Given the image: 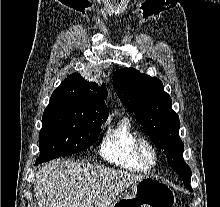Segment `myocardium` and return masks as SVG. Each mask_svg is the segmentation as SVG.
I'll return each mask as SVG.
<instances>
[{"label":"myocardium","mask_w":220,"mask_h":207,"mask_svg":"<svg viewBox=\"0 0 220 207\" xmlns=\"http://www.w3.org/2000/svg\"><path fill=\"white\" fill-rule=\"evenodd\" d=\"M135 154L138 160L146 167L152 168L158 162V151L155 145L145 137H137L134 144ZM146 152L150 153V158Z\"/></svg>","instance_id":"f54148a6"}]
</instances>
